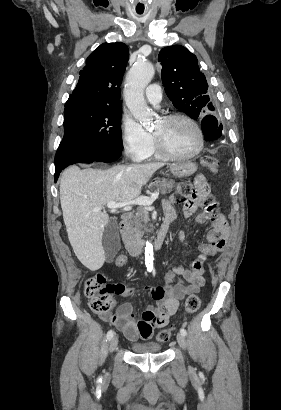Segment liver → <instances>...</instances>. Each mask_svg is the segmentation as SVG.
<instances>
[{
  "label": "liver",
  "instance_id": "obj_1",
  "mask_svg": "<svg viewBox=\"0 0 281 410\" xmlns=\"http://www.w3.org/2000/svg\"><path fill=\"white\" fill-rule=\"evenodd\" d=\"M164 163L119 165L106 170L70 166L60 181V202L68 239L79 261L91 271L100 269L106 258L102 246L109 216L93 212L108 202L133 200Z\"/></svg>",
  "mask_w": 281,
  "mask_h": 410
}]
</instances>
